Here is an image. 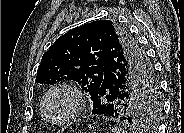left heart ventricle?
I'll return each instance as SVG.
<instances>
[{
	"instance_id": "obj_1",
	"label": "left heart ventricle",
	"mask_w": 184,
	"mask_h": 133,
	"mask_svg": "<svg viewBox=\"0 0 184 133\" xmlns=\"http://www.w3.org/2000/svg\"><path fill=\"white\" fill-rule=\"evenodd\" d=\"M72 107L70 97L63 93H54L47 101L46 110L51 118H60L66 115Z\"/></svg>"
}]
</instances>
